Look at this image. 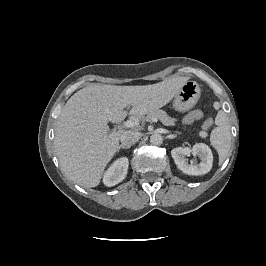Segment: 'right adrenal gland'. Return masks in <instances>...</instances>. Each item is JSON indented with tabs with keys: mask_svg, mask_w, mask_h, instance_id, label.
Segmentation results:
<instances>
[{
	"mask_svg": "<svg viewBox=\"0 0 266 266\" xmlns=\"http://www.w3.org/2000/svg\"><path fill=\"white\" fill-rule=\"evenodd\" d=\"M120 149H128V147L123 146V145H120V146L118 147V149H117V152H119Z\"/></svg>",
	"mask_w": 266,
	"mask_h": 266,
	"instance_id": "right-adrenal-gland-1",
	"label": "right adrenal gland"
}]
</instances>
